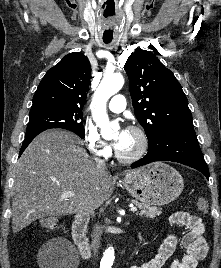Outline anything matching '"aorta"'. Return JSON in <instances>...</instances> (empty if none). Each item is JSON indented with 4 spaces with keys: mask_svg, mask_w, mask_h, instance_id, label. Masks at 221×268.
I'll list each match as a JSON object with an SVG mask.
<instances>
[{
    "mask_svg": "<svg viewBox=\"0 0 221 268\" xmlns=\"http://www.w3.org/2000/svg\"><path fill=\"white\" fill-rule=\"evenodd\" d=\"M124 85V78L120 74L105 77L96 92L94 93L91 109L93 119L96 125L100 128L101 135L107 138L112 135L113 123L109 121L106 112V103L108 99L116 94ZM105 260L107 263H112L114 260V250L109 248L105 252Z\"/></svg>",
    "mask_w": 221,
    "mask_h": 268,
    "instance_id": "aorta-1",
    "label": "aorta"
}]
</instances>
